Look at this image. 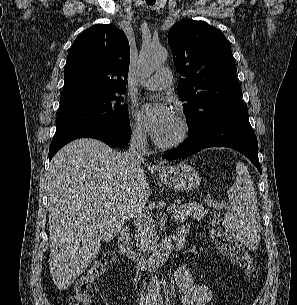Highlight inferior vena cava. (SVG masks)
I'll return each instance as SVG.
<instances>
[{
    "instance_id": "obj_1",
    "label": "inferior vena cava",
    "mask_w": 297,
    "mask_h": 305,
    "mask_svg": "<svg viewBox=\"0 0 297 305\" xmlns=\"http://www.w3.org/2000/svg\"><path fill=\"white\" fill-rule=\"evenodd\" d=\"M146 144H147V134L142 129H135L132 132L130 139V146L127 152L124 153V164L127 166L128 170L132 173H138L141 171L140 164L146 154ZM139 202L135 206H139ZM137 209V208H136ZM140 302L145 300L144 288L140 290Z\"/></svg>"
}]
</instances>
